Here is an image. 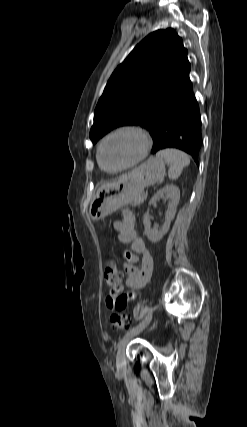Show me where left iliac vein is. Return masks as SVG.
<instances>
[{
    "mask_svg": "<svg viewBox=\"0 0 247 427\" xmlns=\"http://www.w3.org/2000/svg\"><path fill=\"white\" fill-rule=\"evenodd\" d=\"M151 322V318L139 329L135 330L133 333H131L130 335L124 337L120 344H119V349H118V353H117V357H116V365L118 369H122L125 366L126 363V358H125V350H126V346L128 344V342L134 338L135 336L139 335L140 333H142L150 324Z\"/></svg>",
    "mask_w": 247,
    "mask_h": 427,
    "instance_id": "left-iliac-vein-1",
    "label": "left iliac vein"
}]
</instances>
